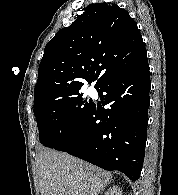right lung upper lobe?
<instances>
[{"instance_id":"1","label":"right lung upper lobe","mask_w":178,"mask_h":195,"mask_svg":"<svg viewBox=\"0 0 178 195\" xmlns=\"http://www.w3.org/2000/svg\"><path fill=\"white\" fill-rule=\"evenodd\" d=\"M146 61L142 36L128 12L116 4H91L47 43L34 89V108L79 92L83 80H97V89Z\"/></svg>"}]
</instances>
